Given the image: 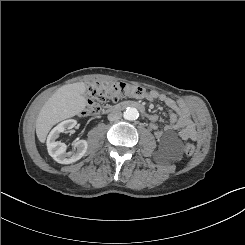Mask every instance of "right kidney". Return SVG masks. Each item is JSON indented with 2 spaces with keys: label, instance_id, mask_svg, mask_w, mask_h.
Instances as JSON below:
<instances>
[{
  "label": "right kidney",
  "instance_id": "obj_1",
  "mask_svg": "<svg viewBox=\"0 0 245 245\" xmlns=\"http://www.w3.org/2000/svg\"><path fill=\"white\" fill-rule=\"evenodd\" d=\"M77 124L74 119H68L52 129L47 138V149L49 155L58 163L71 164L81 159L87 151L88 143L86 140L75 142L74 150L66 153L67 146L64 143L56 141L59 134L65 130L72 129Z\"/></svg>",
  "mask_w": 245,
  "mask_h": 245
}]
</instances>
